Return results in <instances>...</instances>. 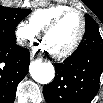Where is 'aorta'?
<instances>
[{"instance_id":"aorta-1","label":"aorta","mask_w":103,"mask_h":103,"mask_svg":"<svg viewBox=\"0 0 103 103\" xmlns=\"http://www.w3.org/2000/svg\"><path fill=\"white\" fill-rule=\"evenodd\" d=\"M31 77L40 84L50 83L55 76L54 66L50 62L35 60L29 67Z\"/></svg>"}]
</instances>
